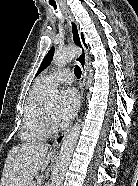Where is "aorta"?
<instances>
[{
  "label": "aorta",
  "instance_id": "aorta-1",
  "mask_svg": "<svg viewBox=\"0 0 138 186\" xmlns=\"http://www.w3.org/2000/svg\"><path fill=\"white\" fill-rule=\"evenodd\" d=\"M78 55V50L73 47L66 48L64 50L56 51L53 57V63L58 68L64 67L67 63L71 62ZM92 70L89 71L86 86L92 83ZM50 98L52 101H59V92L56 87H52L50 89ZM82 122L81 119H78L77 122L73 125L70 132L65 137L59 156L56 161V165L54 171L51 176V186H62L65 173L71 161V157L75 146L77 144L80 130H81Z\"/></svg>",
  "mask_w": 138,
  "mask_h": 186
}]
</instances>
